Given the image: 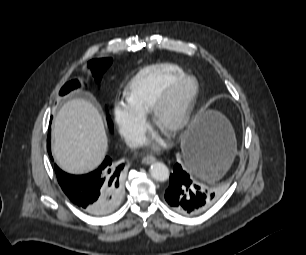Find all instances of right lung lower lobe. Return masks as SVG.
<instances>
[{
  "label": "right lung lower lobe",
  "instance_id": "obj_1",
  "mask_svg": "<svg viewBox=\"0 0 306 255\" xmlns=\"http://www.w3.org/2000/svg\"><path fill=\"white\" fill-rule=\"evenodd\" d=\"M47 148L51 156L50 130ZM121 170L122 165L117 166L108 156L97 170L85 175H70L55 165L64 193L76 206L92 215L108 214L118 205L122 194Z\"/></svg>",
  "mask_w": 306,
  "mask_h": 255
}]
</instances>
